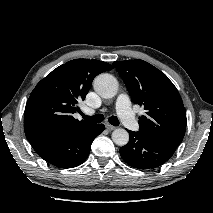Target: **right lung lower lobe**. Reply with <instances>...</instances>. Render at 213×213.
<instances>
[{
    "instance_id": "obj_1",
    "label": "right lung lower lobe",
    "mask_w": 213,
    "mask_h": 213,
    "mask_svg": "<svg viewBox=\"0 0 213 213\" xmlns=\"http://www.w3.org/2000/svg\"><path fill=\"white\" fill-rule=\"evenodd\" d=\"M103 124H91L62 139H31L37 154L48 163L60 168H73L88 157L93 140L103 132Z\"/></svg>"
}]
</instances>
